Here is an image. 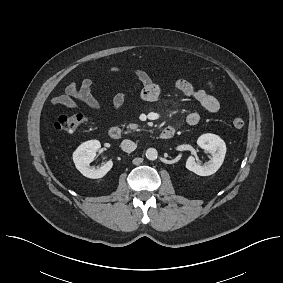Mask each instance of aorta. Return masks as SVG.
<instances>
[{
  "label": "aorta",
  "instance_id": "1",
  "mask_svg": "<svg viewBox=\"0 0 283 283\" xmlns=\"http://www.w3.org/2000/svg\"><path fill=\"white\" fill-rule=\"evenodd\" d=\"M146 157L148 160L154 161L158 157V152L155 148H148L146 150Z\"/></svg>",
  "mask_w": 283,
  "mask_h": 283
}]
</instances>
